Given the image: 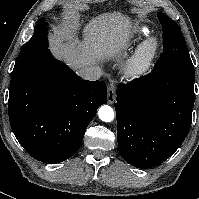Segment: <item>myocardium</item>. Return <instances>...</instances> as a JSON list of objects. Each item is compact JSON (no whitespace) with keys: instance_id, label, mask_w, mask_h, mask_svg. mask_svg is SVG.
Here are the masks:
<instances>
[{"instance_id":"obj_1","label":"myocardium","mask_w":199,"mask_h":199,"mask_svg":"<svg viewBox=\"0 0 199 199\" xmlns=\"http://www.w3.org/2000/svg\"><path fill=\"white\" fill-rule=\"evenodd\" d=\"M159 41L150 36L144 40L128 62L127 71L130 75L137 76L147 72L158 52Z\"/></svg>"}]
</instances>
